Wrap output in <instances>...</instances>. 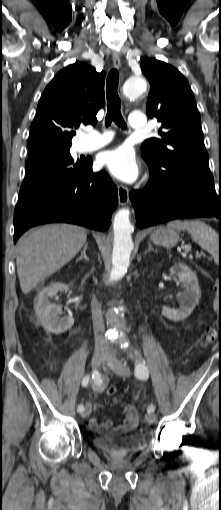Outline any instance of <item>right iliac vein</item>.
<instances>
[{
	"label": "right iliac vein",
	"mask_w": 221,
	"mask_h": 510,
	"mask_svg": "<svg viewBox=\"0 0 221 510\" xmlns=\"http://www.w3.org/2000/svg\"><path fill=\"white\" fill-rule=\"evenodd\" d=\"M108 355L103 352H95L92 356L91 364L93 369H97L102 362H104L107 359ZM91 413V404L88 402L85 406L84 411L82 412L81 416L83 418H87Z\"/></svg>",
	"instance_id": "right-iliac-vein-1"
}]
</instances>
